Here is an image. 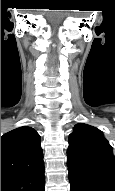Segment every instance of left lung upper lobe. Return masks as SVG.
Wrapping results in <instances>:
<instances>
[{
	"label": "left lung upper lobe",
	"instance_id": "left-lung-upper-lobe-1",
	"mask_svg": "<svg viewBox=\"0 0 115 191\" xmlns=\"http://www.w3.org/2000/svg\"><path fill=\"white\" fill-rule=\"evenodd\" d=\"M68 166L115 180L112 147L96 127L79 123L69 136Z\"/></svg>",
	"mask_w": 115,
	"mask_h": 191
}]
</instances>
